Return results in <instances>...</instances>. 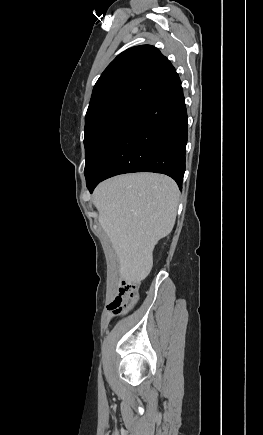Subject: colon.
<instances>
[{
	"label": "colon",
	"mask_w": 263,
	"mask_h": 435,
	"mask_svg": "<svg viewBox=\"0 0 263 435\" xmlns=\"http://www.w3.org/2000/svg\"><path fill=\"white\" fill-rule=\"evenodd\" d=\"M138 298V283L124 280L120 284L119 294L111 303V311L114 316L127 312Z\"/></svg>",
	"instance_id": "colon-1"
}]
</instances>
